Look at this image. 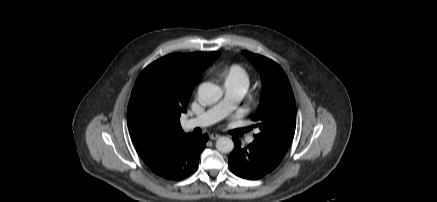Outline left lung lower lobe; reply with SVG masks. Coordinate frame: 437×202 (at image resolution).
<instances>
[{
	"label": "left lung lower lobe",
	"instance_id": "0a47b994",
	"mask_svg": "<svg viewBox=\"0 0 437 202\" xmlns=\"http://www.w3.org/2000/svg\"><path fill=\"white\" fill-rule=\"evenodd\" d=\"M233 141L235 148L228 158L229 167L239 177L260 179L272 172L280 163L253 142L242 148L238 138L233 137Z\"/></svg>",
	"mask_w": 437,
	"mask_h": 202
}]
</instances>
